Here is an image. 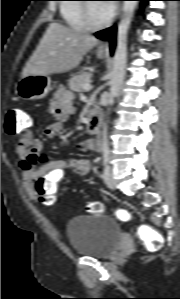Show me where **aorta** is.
Returning <instances> with one entry per match:
<instances>
[{
  "instance_id": "aorta-1",
  "label": "aorta",
  "mask_w": 180,
  "mask_h": 299,
  "mask_svg": "<svg viewBox=\"0 0 180 299\" xmlns=\"http://www.w3.org/2000/svg\"><path fill=\"white\" fill-rule=\"evenodd\" d=\"M136 5L137 1L123 2L122 16L117 31V45L113 57V71L112 78L110 81V92L107 100L109 106H111L114 103V99L117 96L124 79L127 57L126 39L129 25ZM101 144L103 148H107L108 146V131L106 124H104L102 130Z\"/></svg>"
}]
</instances>
